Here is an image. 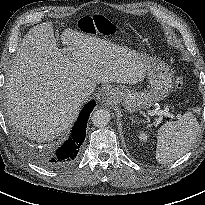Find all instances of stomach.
<instances>
[{"mask_svg": "<svg viewBox=\"0 0 205 205\" xmlns=\"http://www.w3.org/2000/svg\"><path fill=\"white\" fill-rule=\"evenodd\" d=\"M90 24H84L82 32L90 36L103 34L94 24L95 32ZM146 65L151 88L149 91L137 92L125 87H113L109 91V99L114 103H121L126 111L135 112L150 108L155 102L165 98L173 89V71L162 60L150 56L146 52L137 53Z\"/></svg>", "mask_w": 205, "mask_h": 205, "instance_id": "0dacf381", "label": "stomach"}]
</instances>
